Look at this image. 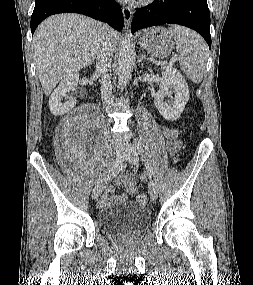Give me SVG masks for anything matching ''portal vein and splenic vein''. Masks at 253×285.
Masks as SVG:
<instances>
[{
  "mask_svg": "<svg viewBox=\"0 0 253 285\" xmlns=\"http://www.w3.org/2000/svg\"><path fill=\"white\" fill-rule=\"evenodd\" d=\"M178 59H179L178 56L173 57L172 60H171V62L169 63V65H172V63H173L174 61L178 60Z\"/></svg>",
  "mask_w": 253,
  "mask_h": 285,
  "instance_id": "obj_1",
  "label": "portal vein and splenic vein"
}]
</instances>
